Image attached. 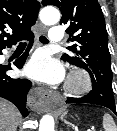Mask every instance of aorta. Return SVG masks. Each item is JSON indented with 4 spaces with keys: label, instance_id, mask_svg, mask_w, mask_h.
Instances as JSON below:
<instances>
[{
    "label": "aorta",
    "instance_id": "1",
    "mask_svg": "<svg viewBox=\"0 0 117 131\" xmlns=\"http://www.w3.org/2000/svg\"><path fill=\"white\" fill-rule=\"evenodd\" d=\"M40 20L45 25H54L60 20V12L54 7H46L40 12ZM39 131H54V118L47 114L40 120Z\"/></svg>",
    "mask_w": 117,
    "mask_h": 131
}]
</instances>
